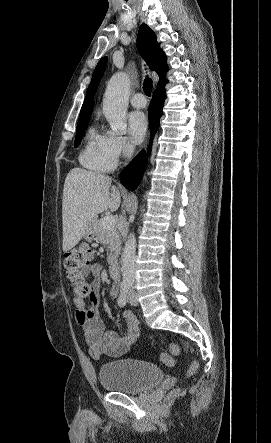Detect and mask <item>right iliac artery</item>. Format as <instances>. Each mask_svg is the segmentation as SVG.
<instances>
[{
    "label": "right iliac artery",
    "mask_w": 271,
    "mask_h": 443,
    "mask_svg": "<svg viewBox=\"0 0 271 443\" xmlns=\"http://www.w3.org/2000/svg\"><path fill=\"white\" fill-rule=\"evenodd\" d=\"M128 289H129L128 286H123L121 289V292H120V295L118 298V305L120 307H124L126 305V302H127L126 297H127Z\"/></svg>",
    "instance_id": "right-iliac-artery-1"
}]
</instances>
